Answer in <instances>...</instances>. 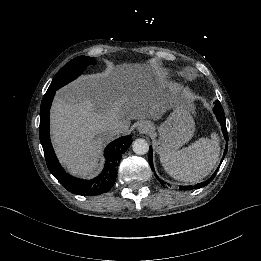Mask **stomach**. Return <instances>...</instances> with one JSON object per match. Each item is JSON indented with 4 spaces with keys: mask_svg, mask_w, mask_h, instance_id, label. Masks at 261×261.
<instances>
[{
    "mask_svg": "<svg viewBox=\"0 0 261 261\" xmlns=\"http://www.w3.org/2000/svg\"><path fill=\"white\" fill-rule=\"evenodd\" d=\"M170 93L173 111L166 121L157 127L159 138L155 142V149L160 155L175 153L193 137L195 131V122L191 115L195 110L192 93L179 84H176Z\"/></svg>",
    "mask_w": 261,
    "mask_h": 261,
    "instance_id": "obj_1",
    "label": "stomach"
}]
</instances>
